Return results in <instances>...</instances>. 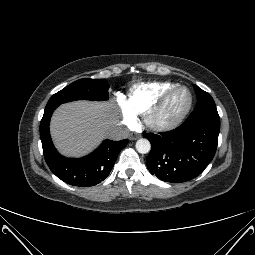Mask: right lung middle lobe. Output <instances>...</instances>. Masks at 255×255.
<instances>
[{
	"label": "right lung middle lobe",
	"instance_id": "right-lung-middle-lobe-1",
	"mask_svg": "<svg viewBox=\"0 0 255 255\" xmlns=\"http://www.w3.org/2000/svg\"><path fill=\"white\" fill-rule=\"evenodd\" d=\"M109 85L105 79H80L54 94L46 107L74 100H107Z\"/></svg>",
	"mask_w": 255,
	"mask_h": 255
}]
</instances>
